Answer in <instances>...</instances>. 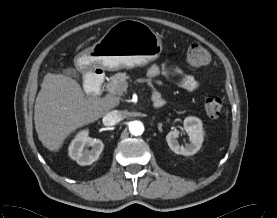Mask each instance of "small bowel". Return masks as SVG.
Masks as SVG:
<instances>
[{"instance_id":"obj_1","label":"small bowel","mask_w":277,"mask_h":218,"mask_svg":"<svg viewBox=\"0 0 277 218\" xmlns=\"http://www.w3.org/2000/svg\"><path fill=\"white\" fill-rule=\"evenodd\" d=\"M160 73L174 80L187 91H195L199 87V82L193 75L184 73L183 70L177 66L167 64L153 65L148 75V83L153 89V103L156 98L162 99L160 94L154 89V80Z\"/></svg>"}]
</instances>
